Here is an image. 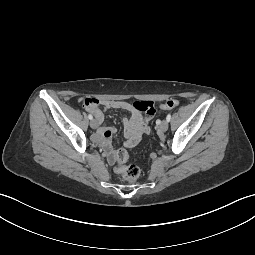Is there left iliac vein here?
Returning a JSON list of instances; mask_svg holds the SVG:
<instances>
[{"label": "left iliac vein", "mask_w": 255, "mask_h": 255, "mask_svg": "<svg viewBox=\"0 0 255 255\" xmlns=\"http://www.w3.org/2000/svg\"><path fill=\"white\" fill-rule=\"evenodd\" d=\"M159 130L162 132H166L168 130V121L163 120L159 126Z\"/></svg>", "instance_id": "1"}]
</instances>
